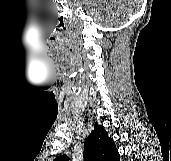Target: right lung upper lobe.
Masks as SVG:
<instances>
[{
  "mask_svg": "<svg viewBox=\"0 0 171 161\" xmlns=\"http://www.w3.org/2000/svg\"><path fill=\"white\" fill-rule=\"evenodd\" d=\"M53 161H68V157L62 155ZM84 161H120L113 139L108 137L106 130L98 123H95L93 131L86 139Z\"/></svg>",
  "mask_w": 171,
  "mask_h": 161,
  "instance_id": "1",
  "label": "right lung upper lobe"
}]
</instances>
